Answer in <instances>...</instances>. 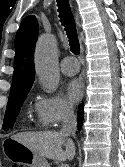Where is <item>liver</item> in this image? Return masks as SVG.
Masks as SVG:
<instances>
[{
    "instance_id": "obj_1",
    "label": "liver",
    "mask_w": 125,
    "mask_h": 167,
    "mask_svg": "<svg viewBox=\"0 0 125 167\" xmlns=\"http://www.w3.org/2000/svg\"><path fill=\"white\" fill-rule=\"evenodd\" d=\"M12 139L24 144L41 156L56 161L72 159L75 155V146L71 139L56 131L21 132ZM65 145V150L62 146Z\"/></svg>"
}]
</instances>
